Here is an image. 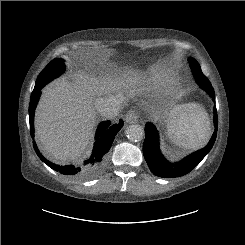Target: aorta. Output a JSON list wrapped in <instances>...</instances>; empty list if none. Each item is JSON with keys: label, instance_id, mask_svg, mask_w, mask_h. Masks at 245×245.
I'll return each instance as SVG.
<instances>
[{"label": "aorta", "instance_id": "1", "mask_svg": "<svg viewBox=\"0 0 245 245\" xmlns=\"http://www.w3.org/2000/svg\"><path fill=\"white\" fill-rule=\"evenodd\" d=\"M126 136L128 137L130 141L138 142L143 139L144 130L142 126L133 124L127 127Z\"/></svg>", "mask_w": 245, "mask_h": 245}]
</instances>
